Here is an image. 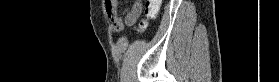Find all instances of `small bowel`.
I'll return each mask as SVG.
<instances>
[{"label": "small bowel", "instance_id": "1", "mask_svg": "<svg viewBox=\"0 0 279 82\" xmlns=\"http://www.w3.org/2000/svg\"><path fill=\"white\" fill-rule=\"evenodd\" d=\"M140 1H135L130 9L120 13L117 1H106V11L113 28L117 31L123 30L125 26H132L141 13ZM138 10V11H137Z\"/></svg>", "mask_w": 279, "mask_h": 82}]
</instances>
